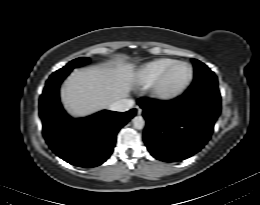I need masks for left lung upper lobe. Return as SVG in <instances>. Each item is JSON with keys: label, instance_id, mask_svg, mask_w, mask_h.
I'll list each match as a JSON object with an SVG mask.
<instances>
[{"label": "left lung upper lobe", "instance_id": "5c2ea615", "mask_svg": "<svg viewBox=\"0 0 260 205\" xmlns=\"http://www.w3.org/2000/svg\"><path fill=\"white\" fill-rule=\"evenodd\" d=\"M195 75L194 81L186 93L204 94L220 99L217 77L206 65L193 59Z\"/></svg>", "mask_w": 260, "mask_h": 205}]
</instances>
